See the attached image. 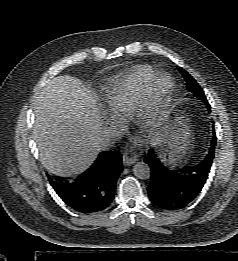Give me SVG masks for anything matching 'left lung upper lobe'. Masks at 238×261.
Masks as SVG:
<instances>
[{"instance_id": "obj_1", "label": "left lung upper lobe", "mask_w": 238, "mask_h": 261, "mask_svg": "<svg viewBox=\"0 0 238 261\" xmlns=\"http://www.w3.org/2000/svg\"><path fill=\"white\" fill-rule=\"evenodd\" d=\"M180 73L183 75L186 83H187V89L191 91L195 97L203 100L205 103L208 102L202 88L199 86V84L194 80V78L186 72L184 69L179 67Z\"/></svg>"}]
</instances>
